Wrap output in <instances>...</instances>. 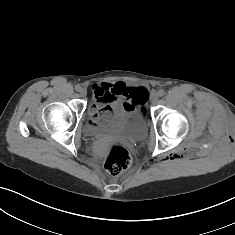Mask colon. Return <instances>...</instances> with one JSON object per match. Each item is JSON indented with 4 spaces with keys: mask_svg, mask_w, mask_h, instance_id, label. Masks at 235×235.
<instances>
[{
    "mask_svg": "<svg viewBox=\"0 0 235 235\" xmlns=\"http://www.w3.org/2000/svg\"><path fill=\"white\" fill-rule=\"evenodd\" d=\"M147 95L145 88H138L133 92L126 105L127 110L134 109L142 102ZM112 116V111L109 108H103L97 113V118L100 120H108ZM131 163V158L127 149L119 143H111L107 148L105 165L111 175L117 176L125 172Z\"/></svg>",
    "mask_w": 235,
    "mask_h": 235,
    "instance_id": "colon-1",
    "label": "colon"
}]
</instances>
